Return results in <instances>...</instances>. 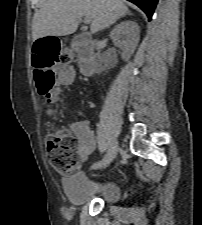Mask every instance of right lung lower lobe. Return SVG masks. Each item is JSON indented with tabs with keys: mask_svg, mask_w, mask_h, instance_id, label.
Listing matches in <instances>:
<instances>
[{
	"mask_svg": "<svg viewBox=\"0 0 202 225\" xmlns=\"http://www.w3.org/2000/svg\"><path fill=\"white\" fill-rule=\"evenodd\" d=\"M138 7H140L148 16L149 20H151L154 9L158 0H128Z\"/></svg>",
	"mask_w": 202,
	"mask_h": 225,
	"instance_id": "right-lung-lower-lobe-1",
	"label": "right lung lower lobe"
}]
</instances>
